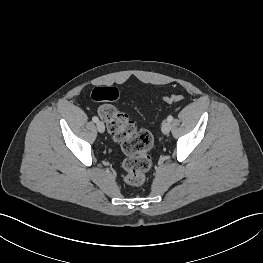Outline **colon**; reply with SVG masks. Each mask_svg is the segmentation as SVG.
Masks as SVG:
<instances>
[{
  "mask_svg": "<svg viewBox=\"0 0 263 263\" xmlns=\"http://www.w3.org/2000/svg\"><path fill=\"white\" fill-rule=\"evenodd\" d=\"M92 100L99 103L98 115L106 123L108 132L121 146L126 155L122 163L123 181L134 187L145 183L147 173L151 168L150 149L153 146V137L145 129L138 128L130 117L118 111L111 103L118 98V91L113 87H96ZM183 96L172 94L165 97L167 103H180Z\"/></svg>",
  "mask_w": 263,
  "mask_h": 263,
  "instance_id": "obj_1",
  "label": "colon"
}]
</instances>
